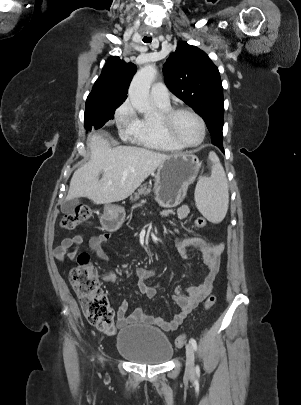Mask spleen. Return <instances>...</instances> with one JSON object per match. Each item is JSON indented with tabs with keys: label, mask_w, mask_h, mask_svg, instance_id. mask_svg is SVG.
Listing matches in <instances>:
<instances>
[{
	"label": "spleen",
	"mask_w": 301,
	"mask_h": 405,
	"mask_svg": "<svg viewBox=\"0 0 301 405\" xmlns=\"http://www.w3.org/2000/svg\"><path fill=\"white\" fill-rule=\"evenodd\" d=\"M209 159L213 163L211 176L199 180L195 197L202 214L210 221L218 223L224 219L228 210V184L217 155L210 152Z\"/></svg>",
	"instance_id": "spleen-1"
}]
</instances>
